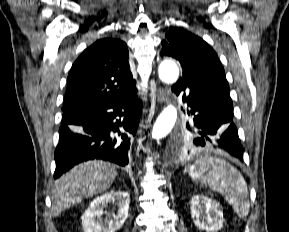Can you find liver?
<instances>
[{
	"mask_svg": "<svg viewBox=\"0 0 289 232\" xmlns=\"http://www.w3.org/2000/svg\"><path fill=\"white\" fill-rule=\"evenodd\" d=\"M116 175V167L102 160H91L75 166L55 181L52 215L56 217L72 205L106 191Z\"/></svg>",
	"mask_w": 289,
	"mask_h": 232,
	"instance_id": "1",
	"label": "liver"
}]
</instances>
